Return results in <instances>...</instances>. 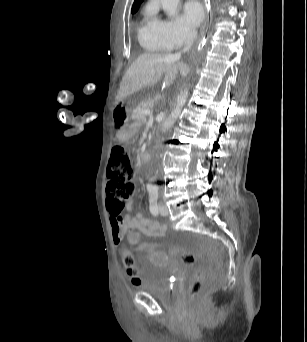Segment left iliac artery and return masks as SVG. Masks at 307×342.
Here are the masks:
<instances>
[{
	"label": "left iliac artery",
	"mask_w": 307,
	"mask_h": 342,
	"mask_svg": "<svg viewBox=\"0 0 307 342\" xmlns=\"http://www.w3.org/2000/svg\"><path fill=\"white\" fill-rule=\"evenodd\" d=\"M150 197H149V202H150V212L153 215L158 214V206H157V200H158V187L157 186H152L148 189Z\"/></svg>",
	"instance_id": "obj_1"
}]
</instances>
